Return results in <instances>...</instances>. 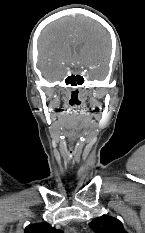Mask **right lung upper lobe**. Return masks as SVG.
<instances>
[{"instance_id":"obj_1","label":"right lung upper lobe","mask_w":145,"mask_h":233,"mask_svg":"<svg viewBox=\"0 0 145 233\" xmlns=\"http://www.w3.org/2000/svg\"><path fill=\"white\" fill-rule=\"evenodd\" d=\"M25 233H63L62 230H56L48 223L31 224L25 228Z\"/></svg>"}]
</instances>
